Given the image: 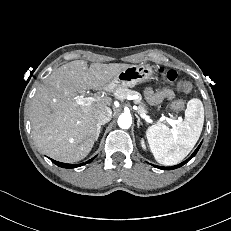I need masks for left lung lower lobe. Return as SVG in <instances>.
<instances>
[{"label": "left lung lower lobe", "mask_w": 231, "mask_h": 231, "mask_svg": "<svg viewBox=\"0 0 231 231\" xmlns=\"http://www.w3.org/2000/svg\"><path fill=\"white\" fill-rule=\"evenodd\" d=\"M201 144L198 146V148L193 152V154L184 162L176 165V166H172V167H160V166H156L154 165L155 167L159 168V169H163V170H172V169H176V168H179L181 167L182 165H184L185 163H187L191 158H193L196 153L198 152L199 148H200Z\"/></svg>", "instance_id": "0a47b994"}]
</instances>
